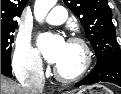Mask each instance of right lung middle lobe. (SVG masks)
<instances>
[{"instance_id": "1", "label": "right lung middle lobe", "mask_w": 121, "mask_h": 94, "mask_svg": "<svg viewBox=\"0 0 121 94\" xmlns=\"http://www.w3.org/2000/svg\"><path fill=\"white\" fill-rule=\"evenodd\" d=\"M14 30H1V58L11 57V44L13 42V33Z\"/></svg>"}]
</instances>
